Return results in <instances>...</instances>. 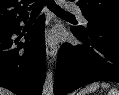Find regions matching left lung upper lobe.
Here are the masks:
<instances>
[{"instance_id":"5c2ea615","label":"left lung upper lobe","mask_w":119,"mask_h":95,"mask_svg":"<svg viewBox=\"0 0 119 95\" xmlns=\"http://www.w3.org/2000/svg\"><path fill=\"white\" fill-rule=\"evenodd\" d=\"M70 1H76L77 5L80 6L82 14L90 24L119 27V0Z\"/></svg>"}]
</instances>
